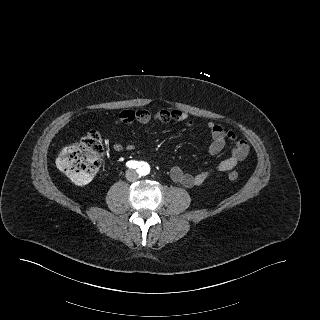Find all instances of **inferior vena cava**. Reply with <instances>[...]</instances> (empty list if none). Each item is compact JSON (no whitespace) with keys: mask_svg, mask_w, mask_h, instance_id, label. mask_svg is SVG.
I'll list each match as a JSON object with an SVG mask.
<instances>
[{"mask_svg":"<svg viewBox=\"0 0 320 320\" xmlns=\"http://www.w3.org/2000/svg\"><path fill=\"white\" fill-rule=\"evenodd\" d=\"M126 179L129 182H134V181H137L138 175L136 174V172L134 170H128L126 172Z\"/></svg>","mask_w":320,"mask_h":320,"instance_id":"1","label":"inferior vena cava"}]
</instances>
